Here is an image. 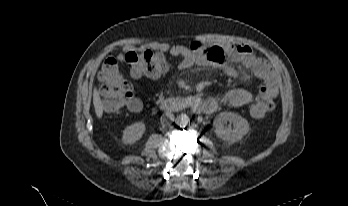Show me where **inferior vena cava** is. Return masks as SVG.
<instances>
[{"label":"inferior vena cava","instance_id":"obj_1","mask_svg":"<svg viewBox=\"0 0 348 206\" xmlns=\"http://www.w3.org/2000/svg\"><path fill=\"white\" fill-rule=\"evenodd\" d=\"M173 120H174V115L171 112H165V114L161 116V123L163 125H169L170 122Z\"/></svg>","mask_w":348,"mask_h":206}]
</instances>
